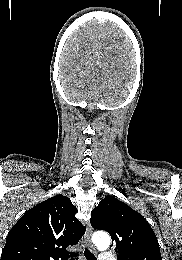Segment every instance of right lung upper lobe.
I'll list each match as a JSON object with an SVG mask.
<instances>
[{
  "label": "right lung upper lobe",
  "instance_id": "1",
  "mask_svg": "<svg viewBox=\"0 0 182 260\" xmlns=\"http://www.w3.org/2000/svg\"><path fill=\"white\" fill-rule=\"evenodd\" d=\"M70 199L55 195L28 210L9 231L1 260H67L85 228Z\"/></svg>",
  "mask_w": 182,
  "mask_h": 260
}]
</instances>
